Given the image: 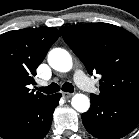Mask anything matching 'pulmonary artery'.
I'll return each instance as SVG.
<instances>
[{"label": "pulmonary artery", "instance_id": "pulmonary-artery-1", "mask_svg": "<svg viewBox=\"0 0 139 139\" xmlns=\"http://www.w3.org/2000/svg\"><path fill=\"white\" fill-rule=\"evenodd\" d=\"M74 80L80 88H82L86 91H94L95 90V87L90 82L89 78L81 70H77L75 72Z\"/></svg>", "mask_w": 139, "mask_h": 139}]
</instances>
